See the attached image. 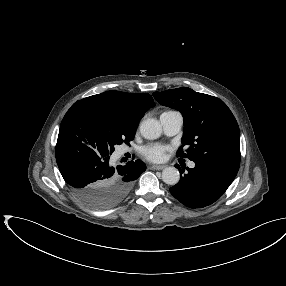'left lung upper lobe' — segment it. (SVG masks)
<instances>
[{
  "mask_svg": "<svg viewBox=\"0 0 286 286\" xmlns=\"http://www.w3.org/2000/svg\"><path fill=\"white\" fill-rule=\"evenodd\" d=\"M153 96L161 105L180 111L184 117L182 144L188 149L185 154L180 147L177 156L239 170V127L222 100L187 87L154 92Z\"/></svg>",
  "mask_w": 286,
  "mask_h": 286,
  "instance_id": "left-lung-upper-lobe-1",
  "label": "left lung upper lobe"
}]
</instances>
